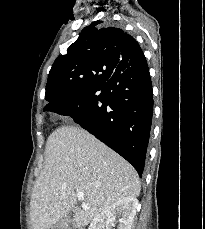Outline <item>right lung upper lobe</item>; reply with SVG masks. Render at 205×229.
I'll use <instances>...</instances> for the list:
<instances>
[{
    "mask_svg": "<svg viewBox=\"0 0 205 229\" xmlns=\"http://www.w3.org/2000/svg\"><path fill=\"white\" fill-rule=\"evenodd\" d=\"M95 21L59 55L48 75L45 99L54 102L92 85L96 76H111L121 61L135 62L142 54L138 42L122 29Z\"/></svg>",
    "mask_w": 205,
    "mask_h": 229,
    "instance_id": "obj_1",
    "label": "right lung upper lobe"
}]
</instances>
